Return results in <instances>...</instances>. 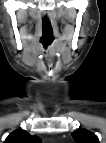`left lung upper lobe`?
<instances>
[{"label": "left lung upper lobe", "instance_id": "obj_1", "mask_svg": "<svg viewBox=\"0 0 106 143\" xmlns=\"http://www.w3.org/2000/svg\"><path fill=\"white\" fill-rule=\"evenodd\" d=\"M72 136L77 143H99L97 136L86 129H79L73 132Z\"/></svg>", "mask_w": 106, "mask_h": 143}]
</instances>
